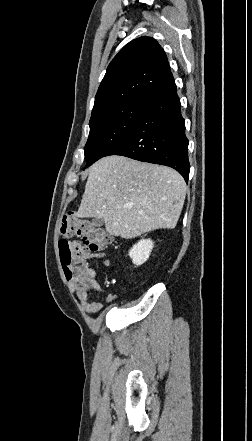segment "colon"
Listing matches in <instances>:
<instances>
[{
    "instance_id": "1",
    "label": "colon",
    "mask_w": 252,
    "mask_h": 441,
    "mask_svg": "<svg viewBox=\"0 0 252 441\" xmlns=\"http://www.w3.org/2000/svg\"><path fill=\"white\" fill-rule=\"evenodd\" d=\"M61 232L64 236L75 235L81 241H59V253L65 276L71 282H81L85 274L82 259L84 252L97 253L105 249L110 242L108 234L88 220L77 218L69 212L63 218Z\"/></svg>"
}]
</instances>
